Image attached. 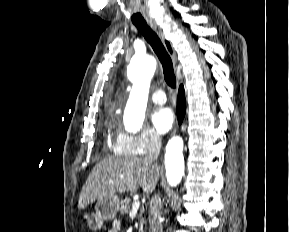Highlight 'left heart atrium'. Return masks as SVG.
Segmentation results:
<instances>
[{
    "mask_svg": "<svg viewBox=\"0 0 289 232\" xmlns=\"http://www.w3.org/2000/svg\"><path fill=\"white\" fill-rule=\"evenodd\" d=\"M151 122L159 134L167 133L173 126L174 114L170 108L161 107L153 111Z\"/></svg>",
    "mask_w": 289,
    "mask_h": 232,
    "instance_id": "left-heart-atrium-1",
    "label": "left heart atrium"
}]
</instances>
